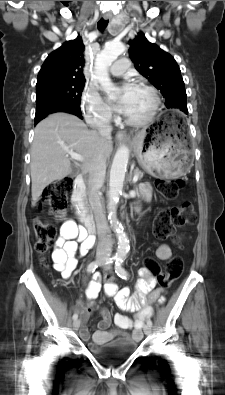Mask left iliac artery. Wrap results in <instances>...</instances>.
<instances>
[{"label": "left iliac artery", "instance_id": "1", "mask_svg": "<svg viewBox=\"0 0 225 395\" xmlns=\"http://www.w3.org/2000/svg\"><path fill=\"white\" fill-rule=\"evenodd\" d=\"M123 258H116L115 259V272L116 274L122 278V279H127L128 277V272L123 268ZM147 324L149 326H152V321L150 319L147 320Z\"/></svg>", "mask_w": 225, "mask_h": 395}]
</instances>
